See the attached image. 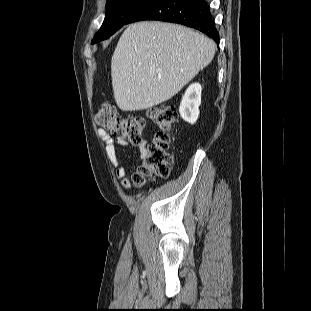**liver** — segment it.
<instances>
[{
    "mask_svg": "<svg viewBox=\"0 0 311 311\" xmlns=\"http://www.w3.org/2000/svg\"><path fill=\"white\" fill-rule=\"evenodd\" d=\"M215 48L213 40L181 25H129L111 60L117 106L137 111L171 99L212 61Z\"/></svg>",
    "mask_w": 311,
    "mask_h": 311,
    "instance_id": "6515ba94",
    "label": "liver"
}]
</instances>
